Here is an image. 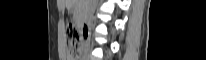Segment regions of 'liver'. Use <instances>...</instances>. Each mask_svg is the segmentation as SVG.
<instances>
[{"label":"liver","instance_id":"1","mask_svg":"<svg viewBox=\"0 0 206 60\" xmlns=\"http://www.w3.org/2000/svg\"><path fill=\"white\" fill-rule=\"evenodd\" d=\"M66 4L74 3L76 0H65Z\"/></svg>","mask_w":206,"mask_h":60}]
</instances>
